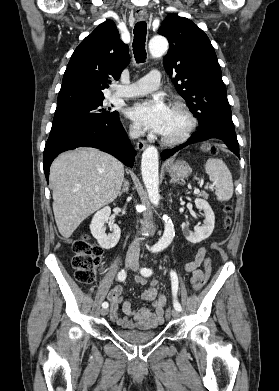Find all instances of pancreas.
Listing matches in <instances>:
<instances>
[{
	"label": "pancreas",
	"instance_id": "1",
	"mask_svg": "<svg viewBox=\"0 0 279 391\" xmlns=\"http://www.w3.org/2000/svg\"><path fill=\"white\" fill-rule=\"evenodd\" d=\"M199 196H201V197H203L205 199H208V194L205 193V192L200 193Z\"/></svg>",
	"mask_w": 279,
	"mask_h": 391
}]
</instances>
